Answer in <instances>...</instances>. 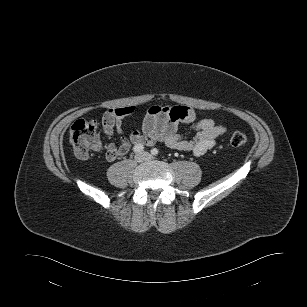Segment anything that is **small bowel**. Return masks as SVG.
Returning <instances> with one entry per match:
<instances>
[{
    "label": "small bowel",
    "instance_id": "obj_1",
    "mask_svg": "<svg viewBox=\"0 0 307 307\" xmlns=\"http://www.w3.org/2000/svg\"><path fill=\"white\" fill-rule=\"evenodd\" d=\"M134 111V106L109 109L102 119L105 135L110 137L114 132L121 134V119ZM181 123L190 124L196 135L193 138L180 135L178 126ZM225 132L224 126L217 125L210 118H199L197 112L190 107L155 105L142 115L140 130L132 131L129 138L122 137L119 145H106V158L114 161L126 155L131 145L151 146L157 142L172 149L189 151L199 157L211 150L216 145V139Z\"/></svg>",
    "mask_w": 307,
    "mask_h": 307
}]
</instances>
